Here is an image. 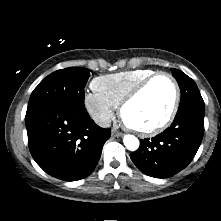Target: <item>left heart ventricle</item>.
Here are the masks:
<instances>
[{
  "mask_svg": "<svg viewBox=\"0 0 221 221\" xmlns=\"http://www.w3.org/2000/svg\"><path fill=\"white\" fill-rule=\"evenodd\" d=\"M173 98L174 90L171 82L166 77H159L126 107L124 119L135 128H151L165 119Z\"/></svg>",
  "mask_w": 221,
  "mask_h": 221,
  "instance_id": "obj_1",
  "label": "left heart ventricle"
}]
</instances>
